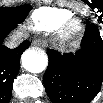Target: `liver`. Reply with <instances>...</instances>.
I'll list each match as a JSON object with an SVG mask.
<instances>
[{"mask_svg":"<svg viewBox=\"0 0 103 103\" xmlns=\"http://www.w3.org/2000/svg\"><path fill=\"white\" fill-rule=\"evenodd\" d=\"M23 36H24L23 32L20 31V30H18V31H16L15 35H13L12 40H13L14 38H19V39H21Z\"/></svg>","mask_w":103,"mask_h":103,"instance_id":"liver-1","label":"liver"}]
</instances>
